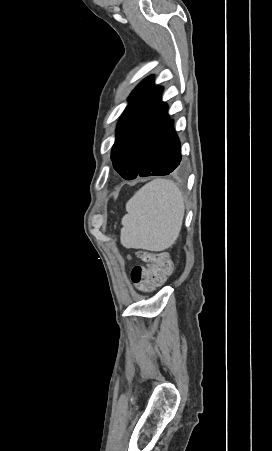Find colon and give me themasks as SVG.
<instances>
[{
    "instance_id": "5ec220e1",
    "label": "colon",
    "mask_w": 272,
    "mask_h": 451,
    "mask_svg": "<svg viewBox=\"0 0 272 451\" xmlns=\"http://www.w3.org/2000/svg\"><path fill=\"white\" fill-rule=\"evenodd\" d=\"M134 257L145 262L142 265H135L131 274L134 287L142 291H149L158 287L165 277L172 272V264L168 254L164 251L135 249Z\"/></svg>"
}]
</instances>
